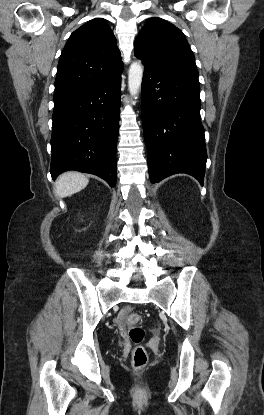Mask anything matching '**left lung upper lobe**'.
Returning a JSON list of instances; mask_svg holds the SVG:
<instances>
[{
  "label": "left lung upper lobe",
  "instance_id": "left-lung-upper-lobe-1",
  "mask_svg": "<svg viewBox=\"0 0 264 415\" xmlns=\"http://www.w3.org/2000/svg\"><path fill=\"white\" fill-rule=\"evenodd\" d=\"M134 55L144 68L158 73L198 80L192 50L180 29L161 18L153 17L139 32Z\"/></svg>",
  "mask_w": 264,
  "mask_h": 415
}]
</instances>
